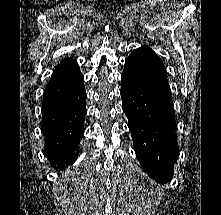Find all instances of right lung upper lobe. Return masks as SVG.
Wrapping results in <instances>:
<instances>
[{
    "label": "right lung upper lobe",
    "instance_id": "right-lung-upper-lobe-1",
    "mask_svg": "<svg viewBox=\"0 0 221 215\" xmlns=\"http://www.w3.org/2000/svg\"><path fill=\"white\" fill-rule=\"evenodd\" d=\"M69 60H71V59H70V58H66V59H64L59 65L65 63V62H67V61H69Z\"/></svg>",
    "mask_w": 221,
    "mask_h": 215
}]
</instances>
